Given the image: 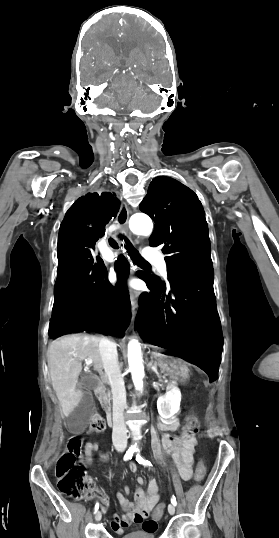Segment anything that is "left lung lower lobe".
Masks as SVG:
<instances>
[{"label":"left lung lower lobe","mask_w":279,"mask_h":538,"mask_svg":"<svg viewBox=\"0 0 279 538\" xmlns=\"http://www.w3.org/2000/svg\"><path fill=\"white\" fill-rule=\"evenodd\" d=\"M213 275V269H205L172 279L169 294L150 277L144 279L152 293L140 296L135 321L145 341L192 360L210 382L217 379L223 343Z\"/></svg>","instance_id":"0a47b994"}]
</instances>
